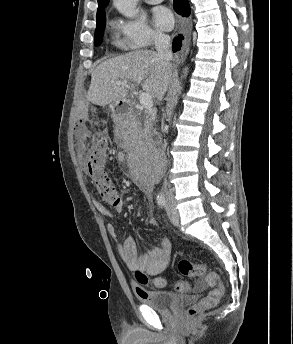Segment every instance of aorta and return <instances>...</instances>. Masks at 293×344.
<instances>
[{
  "label": "aorta",
  "mask_w": 293,
  "mask_h": 344,
  "mask_svg": "<svg viewBox=\"0 0 293 344\" xmlns=\"http://www.w3.org/2000/svg\"><path fill=\"white\" fill-rule=\"evenodd\" d=\"M138 0H114V5L117 10L125 17L134 18L137 15L136 6ZM188 68L183 70V78L187 76ZM182 87L177 88L178 94L181 93Z\"/></svg>",
  "instance_id": "obj_1"
}]
</instances>
